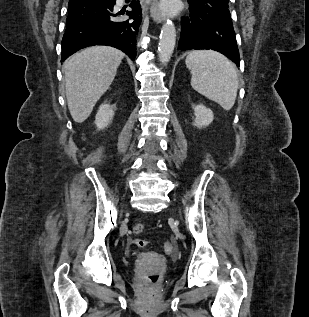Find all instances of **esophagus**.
Instances as JSON below:
<instances>
[{
  "label": "esophagus",
  "instance_id": "esophagus-1",
  "mask_svg": "<svg viewBox=\"0 0 309 317\" xmlns=\"http://www.w3.org/2000/svg\"><path fill=\"white\" fill-rule=\"evenodd\" d=\"M150 16L157 23H162L165 20V16L160 11L158 0H153L150 7Z\"/></svg>",
  "mask_w": 309,
  "mask_h": 317
}]
</instances>
